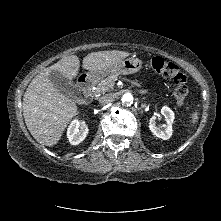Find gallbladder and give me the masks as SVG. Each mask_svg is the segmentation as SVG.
Here are the masks:
<instances>
[{
	"label": "gallbladder",
	"mask_w": 221,
	"mask_h": 221,
	"mask_svg": "<svg viewBox=\"0 0 221 221\" xmlns=\"http://www.w3.org/2000/svg\"><path fill=\"white\" fill-rule=\"evenodd\" d=\"M49 80L55 89L67 97H74L78 94L76 84L58 70L50 73Z\"/></svg>",
	"instance_id": "1"
}]
</instances>
